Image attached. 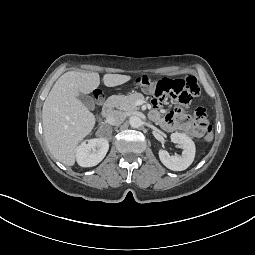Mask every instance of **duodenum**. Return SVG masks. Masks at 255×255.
I'll list each match as a JSON object with an SVG mask.
<instances>
[{
  "mask_svg": "<svg viewBox=\"0 0 255 255\" xmlns=\"http://www.w3.org/2000/svg\"><path fill=\"white\" fill-rule=\"evenodd\" d=\"M114 109V102L112 99H108L106 100V102L104 103L103 107H102V115L104 117H108L111 115V113L113 112Z\"/></svg>",
  "mask_w": 255,
  "mask_h": 255,
  "instance_id": "duodenum-1",
  "label": "duodenum"
}]
</instances>
